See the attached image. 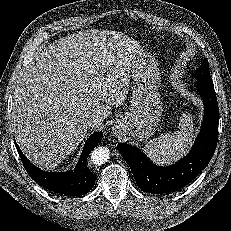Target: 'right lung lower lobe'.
<instances>
[{
  "mask_svg": "<svg viewBox=\"0 0 231 231\" xmlns=\"http://www.w3.org/2000/svg\"><path fill=\"white\" fill-rule=\"evenodd\" d=\"M102 136V132H97L87 139L74 171L68 172H44L25 157L16 143L15 146L27 173L35 182L53 192L81 196L91 190L95 184V174L90 171L86 162L90 152L102 140Z\"/></svg>",
  "mask_w": 231,
  "mask_h": 231,
  "instance_id": "1",
  "label": "right lung lower lobe"
}]
</instances>
